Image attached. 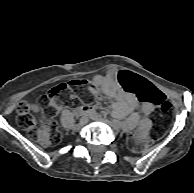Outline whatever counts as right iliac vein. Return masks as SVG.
Segmentation results:
<instances>
[{
	"label": "right iliac vein",
	"instance_id": "63e3f726",
	"mask_svg": "<svg viewBox=\"0 0 194 193\" xmlns=\"http://www.w3.org/2000/svg\"><path fill=\"white\" fill-rule=\"evenodd\" d=\"M85 120V119H84ZM86 123V120L84 122H80L78 124L75 125V129L76 130H80L82 129V127L84 126V124Z\"/></svg>",
	"mask_w": 194,
	"mask_h": 193
}]
</instances>
